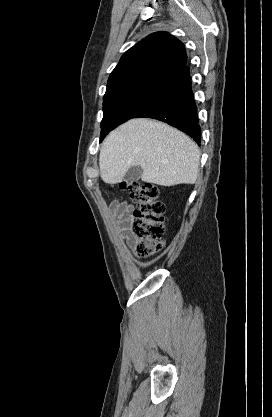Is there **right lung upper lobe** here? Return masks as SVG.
Masks as SVG:
<instances>
[{
  "label": "right lung upper lobe",
  "instance_id": "right-lung-upper-lobe-1",
  "mask_svg": "<svg viewBox=\"0 0 272 417\" xmlns=\"http://www.w3.org/2000/svg\"><path fill=\"white\" fill-rule=\"evenodd\" d=\"M186 63L182 42L167 32L153 33L121 57L110 74L104 98L130 88H161Z\"/></svg>",
  "mask_w": 272,
  "mask_h": 417
}]
</instances>
